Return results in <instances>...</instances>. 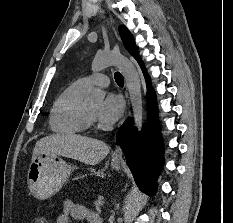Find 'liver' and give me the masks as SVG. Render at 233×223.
<instances>
[{"label":"liver","mask_w":233,"mask_h":223,"mask_svg":"<svg viewBox=\"0 0 233 223\" xmlns=\"http://www.w3.org/2000/svg\"><path fill=\"white\" fill-rule=\"evenodd\" d=\"M110 151L109 145L86 135L76 133H54L37 141L32 155V161L39 153H56L63 157L78 159L87 165H97Z\"/></svg>","instance_id":"6515ba94"}]
</instances>
